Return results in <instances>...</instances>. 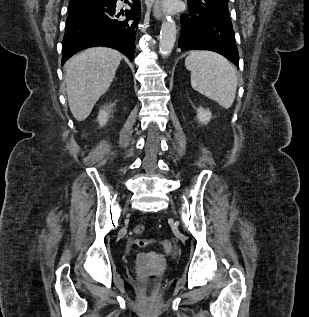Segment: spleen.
I'll use <instances>...</instances> for the list:
<instances>
[{"label":"spleen","mask_w":309,"mask_h":317,"mask_svg":"<svg viewBox=\"0 0 309 317\" xmlns=\"http://www.w3.org/2000/svg\"><path fill=\"white\" fill-rule=\"evenodd\" d=\"M185 66L191 72L193 89L225 109L232 106L236 95L237 76L227 59L210 51H195L187 56Z\"/></svg>","instance_id":"obj_1"}]
</instances>
